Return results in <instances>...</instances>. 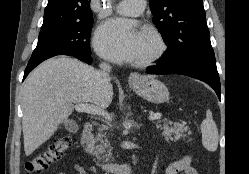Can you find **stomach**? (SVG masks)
<instances>
[{"instance_id": "1", "label": "stomach", "mask_w": 249, "mask_h": 174, "mask_svg": "<svg viewBox=\"0 0 249 174\" xmlns=\"http://www.w3.org/2000/svg\"><path fill=\"white\" fill-rule=\"evenodd\" d=\"M131 88L141 97L152 103H164L169 99L167 87L152 77L140 76L136 81L130 82Z\"/></svg>"}]
</instances>
